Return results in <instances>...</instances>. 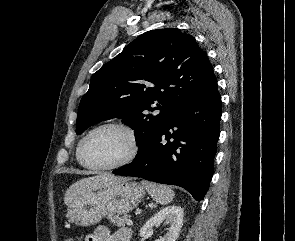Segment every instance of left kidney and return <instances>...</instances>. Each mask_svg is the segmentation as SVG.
<instances>
[{"instance_id":"5707ae66","label":"left kidney","mask_w":295,"mask_h":241,"mask_svg":"<svg viewBox=\"0 0 295 241\" xmlns=\"http://www.w3.org/2000/svg\"><path fill=\"white\" fill-rule=\"evenodd\" d=\"M183 217L184 212L180 206L172 205L163 208L144 224L140 230V237H151L153 234V227H157L164 222L165 225H169L166 229L167 233L164 237H161L156 241H176L183 225Z\"/></svg>"}]
</instances>
